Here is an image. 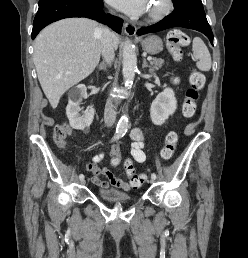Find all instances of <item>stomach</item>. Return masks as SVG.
Wrapping results in <instances>:
<instances>
[{"label": "stomach", "mask_w": 248, "mask_h": 258, "mask_svg": "<svg viewBox=\"0 0 248 258\" xmlns=\"http://www.w3.org/2000/svg\"><path fill=\"white\" fill-rule=\"evenodd\" d=\"M142 48L149 54H158L163 49V42L160 37L156 35L149 36L142 40Z\"/></svg>", "instance_id": "0dacf381"}]
</instances>
